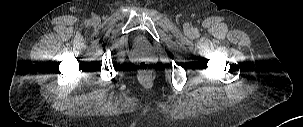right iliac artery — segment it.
Masks as SVG:
<instances>
[{"label": "right iliac artery", "instance_id": "82829eb1", "mask_svg": "<svg viewBox=\"0 0 303 127\" xmlns=\"http://www.w3.org/2000/svg\"><path fill=\"white\" fill-rule=\"evenodd\" d=\"M85 23L88 26V25H90L91 22H90V20H87Z\"/></svg>", "mask_w": 303, "mask_h": 127}]
</instances>
